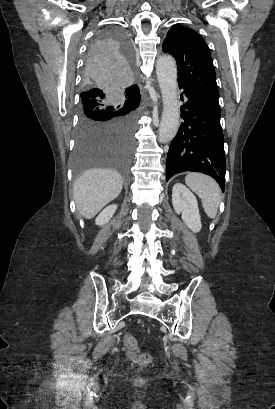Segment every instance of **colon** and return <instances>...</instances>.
<instances>
[{"label":"colon","mask_w":275,"mask_h":409,"mask_svg":"<svg viewBox=\"0 0 275 409\" xmlns=\"http://www.w3.org/2000/svg\"><path fill=\"white\" fill-rule=\"evenodd\" d=\"M124 349L128 359L138 365L147 366L151 362L150 354L142 352L138 346L136 339L126 334L123 338Z\"/></svg>","instance_id":"colon-1"}]
</instances>
